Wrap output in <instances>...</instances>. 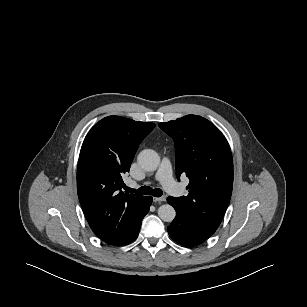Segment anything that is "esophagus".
<instances>
[{"label":"esophagus","instance_id":"1","mask_svg":"<svg viewBox=\"0 0 307 307\" xmlns=\"http://www.w3.org/2000/svg\"><path fill=\"white\" fill-rule=\"evenodd\" d=\"M153 201L161 203V202L166 201V197H164V196L163 197H153Z\"/></svg>","mask_w":307,"mask_h":307}]
</instances>
